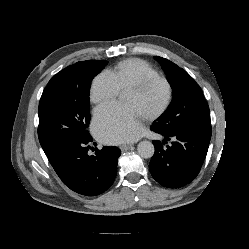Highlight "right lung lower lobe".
Returning a JSON list of instances; mask_svg holds the SVG:
<instances>
[{
	"instance_id": "98d812e1",
	"label": "right lung lower lobe",
	"mask_w": 249,
	"mask_h": 249,
	"mask_svg": "<svg viewBox=\"0 0 249 249\" xmlns=\"http://www.w3.org/2000/svg\"><path fill=\"white\" fill-rule=\"evenodd\" d=\"M92 137L61 140L43 149L63 183L71 190L86 196L105 192L114 182L121 151L103 147L89 155L87 146Z\"/></svg>"
}]
</instances>
